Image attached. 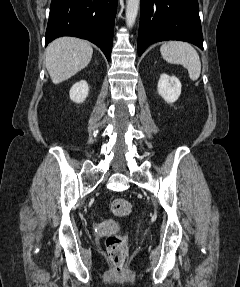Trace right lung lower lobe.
Wrapping results in <instances>:
<instances>
[{
	"mask_svg": "<svg viewBox=\"0 0 240 287\" xmlns=\"http://www.w3.org/2000/svg\"><path fill=\"white\" fill-rule=\"evenodd\" d=\"M117 0H52L45 45L60 36L96 44L110 60Z\"/></svg>",
	"mask_w": 240,
	"mask_h": 287,
	"instance_id": "1",
	"label": "right lung lower lobe"
}]
</instances>
